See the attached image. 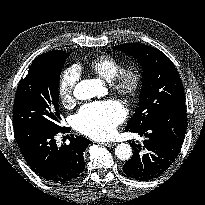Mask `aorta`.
<instances>
[{"label":"aorta","mask_w":205,"mask_h":205,"mask_svg":"<svg viewBox=\"0 0 205 205\" xmlns=\"http://www.w3.org/2000/svg\"><path fill=\"white\" fill-rule=\"evenodd\" d=\"M104 90L100 79L83 80L74 87V97L77 100H88L100 95ZM115 155L118 159L125 161L132 156V148L127 143H120L115 148Z\"/></svg>","instance_id":"obj_1"}]
</instances>
